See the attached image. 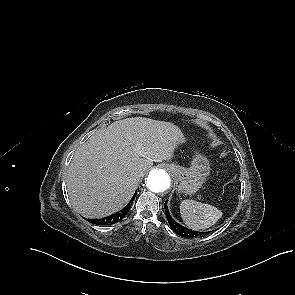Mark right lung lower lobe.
<instances>
[{"mask_svg": "<svg viewBox=\"0 0 295 295\" xmlns=\"http://www.w3.org/2000/svg\"><path fill=\"white\" fill-rule=\"evenodd\" d=\"M135 196H133V198L131 199V201L120 211H118L117 213L108 216L106 218H102V219H89L88 221L92 224H96V225H109V224H114L117 223L118 221H120L121 219H123L125 217V215L129 212L131 205L135 199Z\"/></svg>", "mask_w": 295, "mask_h": 295, "instance_id": "obj_1", "label": "right lung lower lobe"}]
</instances>
